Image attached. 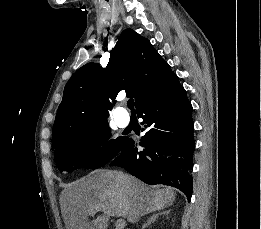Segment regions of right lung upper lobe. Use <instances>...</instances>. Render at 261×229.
I'll return each instance as SVG.
<instances>
[{
    "mask_svg": "<svg viewBox=\"0 0 261 229\" xmlns=\"http://www.w3.org/2000/svg\"><path fill=\"white\" fill-rule=\"evenodd\" d=\"M175 76L147 39L125 29L106 68L88 63L67 82L53 126L52 149L65 140L66 128L107 122L121 90L135 98L138 109Z\"/></svg>",
    "mask_w": 261,
    "mask_h": 229,
    "instance_id": "obj_1",
    "label": "right lung upper lobe"
}]
</instances>
